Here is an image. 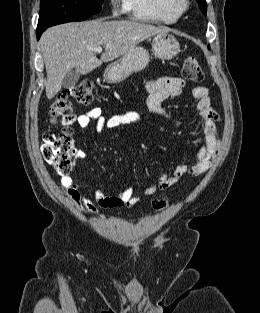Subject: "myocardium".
Returning a JSON list of instances; mask_svg holds the SVG:
<instances>
[{
  "label": "myocardium",
  "mask_w": 260,
  "mask_h": 313,
  "mask_svg": "<svg viewBox=\"0 0 260 313\" xmlns=\"http://www.w3.org/2000/svg\"><path fill=\"white\" fill-rule=\"evenodd\" d=\"M168 6L181 15L188 10L190 2L189 0H168Z\"/></svg>",
  "instance_id": "myocardium-1"
}]
</instances>
